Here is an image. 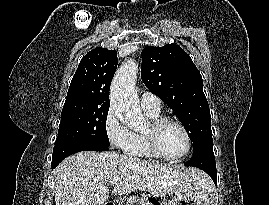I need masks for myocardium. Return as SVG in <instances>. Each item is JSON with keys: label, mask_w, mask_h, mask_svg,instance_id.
<instances>
[{"label": "myocardium", "mask_w": 269, "mask_h": 205, "mask_svg": "<svg viewBox=\"0 0 269 205\" xmlns=\"http://www.w3.org/2000/svg\"><path fill=\"white\" fill-rule=\"evenodd\" d=\"M167 124H173L179 127L187 140V148L184 153L179 156L171 157L164 154L159 145V134L162 128ZM145 137L146 145L151 154L159 159L166 161H178L185 158L192 150V138L187 127L178 119L170 116H159L158 118L151 121L148 128L143 132Z\"/></svg>", "instance_id": "myocardium-1"}]
</instances>
